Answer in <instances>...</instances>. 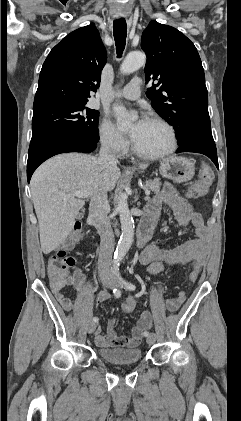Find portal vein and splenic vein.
Masks as SVG:
<instances>
[{"mask_svg":"<svg viewBox=\"0 0 241 421\" xmlns=\"http://www.w3.org/2000/svg\"><path fill=\"white\" fill-rule=\"evenodd\" d=\"M145 194L148 197L150 195V191L148 189L145 190ZM64 199H68L71 197H77V198H87L89 196L88 192L85 191H77L75 193L72 194H68V195H62Z\"/></svg>","mask_w":241,"mask_h":421,"instance_id":"obj_1","label":"portal vein and splenic vein"}]
</instances>
